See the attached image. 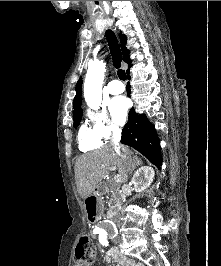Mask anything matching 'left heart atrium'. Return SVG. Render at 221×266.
Returning a JSON list of instances; mask_svg holds the SVG:
<instances>
[{
	"label": "left heart atrium",
	"instance_id": "39dd6f15",
	"mask_svg": "<svg viewBox=\"0 0 221 266\" xmlns=\"http://www.w3.org/2000/svg\"><path fill=\"white\" fill-rule=\"evenodd\" d=\"M109 109L113 119L117 123L122 124L125 121L127 115V100L122 96L116 97L110 102Z\"/></svg>",
	"mask_w": 221,
	"mask_h": 266
}]
</instances>
